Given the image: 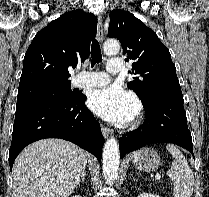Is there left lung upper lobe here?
<instances>
[{
    "label": "left lung upper lobe",
    "instance_id": "5c2ea615",
    "mask_svg": "<svg viewBox=\"0 0 209 197\" xmlns=\"http://www.w3.org/2000/svg\"><path fill=\"white\" fill-rule=\"evenodd\" d=\"M108 36L122 44L126 61L132 60L133 80L128 82L143 104L159 96H182L169 50L154 31L133 14L114 10Z\"/></svg>",
    "mask_w": 209,
    "mask_h": 197
}]
</instances>
